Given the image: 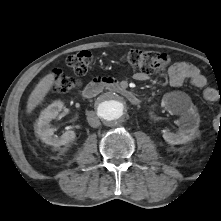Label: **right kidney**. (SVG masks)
Here are the masks:
<instances>
[{"label": "right kidney", "mask_w": 221, "mask_h": 221, "mask_svg": "<svg viewBox=\"0 0 221 221\" xmlns=\"http://www.w3.org/2000/svg\"><path fill=\"white\" fill-rule=\"evenodd\" d=\"M63 108L61 101H55L41 112L34 129L39 138L48 145L55 147L66 145L73 141L76 134L72 130L64 132L60 137L54 135V129L50 127V121L55 119Z\"/></svg>", "instance_id": "1"}]
</instances>
